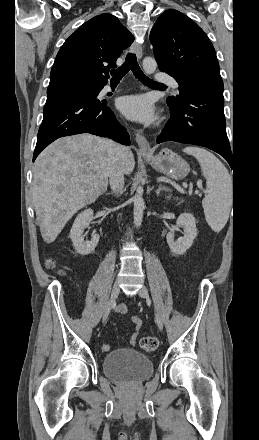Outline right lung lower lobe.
I'll use <instances>...</instances> for the list:
<instances>
[{
	"mask_svg": "<svg viewBox=\"0 0 259 440\" xmlns=\"http://www.w3.org/2000/svg\"><path fill=\"white\" fill-rule=\"evenodd\" d=\"M99 92L47 96L33 161L54 140L80 133L109 137L130 145L129 134L116 120L106 101L97 99Z\"/></svg>",
	"mask_w": 259,
	"mask_h": 440,
	"instance_id": "obj_1",
	"label": "right lung lower lobe"
}]
</instances>
